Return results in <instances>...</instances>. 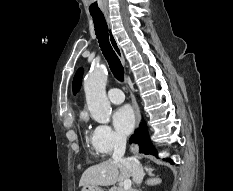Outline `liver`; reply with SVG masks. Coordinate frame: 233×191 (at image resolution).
Instances as JSON below:
<instances>
[{
  "label": "liver",
  "instance_id": "6515ba94",
  "mask_svg": "<svg viewBox=\"0 0 233 191\" xmlns=\"http://www.w3.org/2000/svg\"><path fill=\"white\" fill-rule=\"evenodd\" d=\"M131 171L121 162L109 159L87 168L80 179L79 186H112L117 181L129 179Z\"/></svg>",
  "mask_w": 233,
  "mask_h": 191
}]
</instances>
